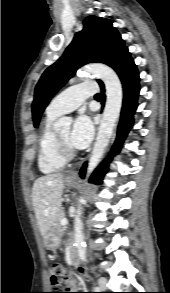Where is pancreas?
I'll return each instance as SVG.
<instances>
[{
	"label": "pancreas",
	"mask_w": 170,
	"mask_h": 293,
	"mask_svg": "<svg viewBox=\"0 0 170 293\" xmlns=\"http://www.w3.org/2000/svg\"><path fill=\"white\" fill-rule=\"evenodd\" d=\"M65 217V213L63 210H60L58 215H57V218L55 220V223L53 225V229L55 230V232L61 234L64 232V227L61 225V219H63Z\"/></svg>",
	"instance_id": "cf45deb5"
}]
</instances>
